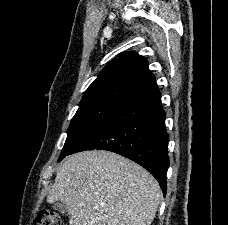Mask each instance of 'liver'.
<instances>
[{"instance_id":"6515ba94","label":"liver","mask_w":228,"mask_h":225,"mask_svg":"<svg viewBox=\"0 0 228 225\" xmlns=\"http://www.w3.org/2000/svg\"><path fill=\"white\" fill-rule=\"evenodd\" d=\"M47 203L61 201L70 225H151L161 201L154 177L110 151L66 157Z\"/></svg>"}]
</instances>
